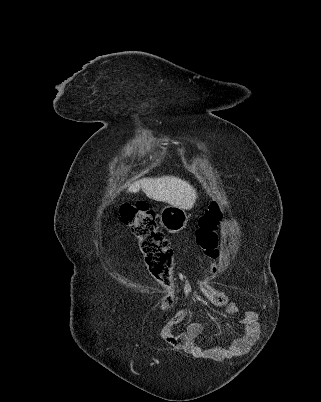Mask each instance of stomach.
<instances>
[{
	"label": "stomach",
	"instance_id": "0dacf381",
	"mask_svg": "<svg viewBox=\"0 0 321 402\" xmlns=\"http://www.w3.org/2000/svg\"><path fill=\"white\" fill-rule=\"evenodd\" d=\"M161 225L170 233H178L186 227L187 215L184 209L174 205L165 206L160 213Z\"/></svg>",
	"mask_w": 321,
	"mask_h": 402
}]
</instances>
